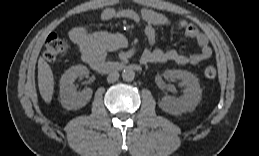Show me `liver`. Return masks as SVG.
Wrapping results in <instances>:
<instances>
[{
	"mask_svg": "<svg viewBox=\"0 0 259 156\" xmlns=\"http://www.w3.org/2000/svg\"><path fill=\"white\" fill-rule=\"evenodd\" d=\"M38 87L43 100L50 103L54 92V77L49 64L42 57L38 60Z\"/></svg>",
	"mask_w": 259,
	"mask_h": 156,
	"instance_id": "liver-1",
	"label": "liver"
}]
</instances>
